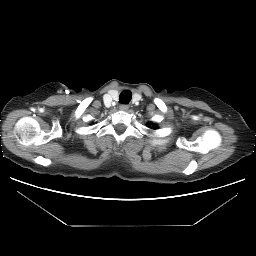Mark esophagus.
Returning a JSON list of instances; mask_svg holds the SVG:
<instances>
[{
    "label": "esophagus",
    "mask_w": 256,
    "mask_h": 256,
    "mask_svg": "<svg viewBox=\"0 0 256 256\" xmlns=\"http://www.w3.org/2000/svg\"><path fill=\"white\" fill-rule=\"evenodd\" d=\"M128 108H129V106L127 104H121L119 106V109L122 110V111H126V110H128Z\"/></svg>",
    "instance_id": "34e87169"
}]
</instances>
